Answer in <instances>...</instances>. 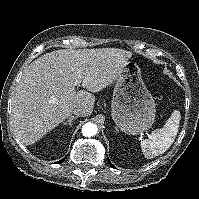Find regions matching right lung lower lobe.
Masks as SVG:
<instances>
[{
	"mask_svg": "<svg viewBox=\"0 0 199 199\" xmlns=\"http://www.w3.org/2000/svg\"><path fill=\"white\" fill-rule=\"evenodd\" d=\"M64 161V159H62V160H60V161H58L59 163H61V162H63Z\"/></svg>",
	"mask_w": 199,
	"mask_h": 199,
	"instance_id": "1",
	"label": "right lung lower lobe"
}]
</instances>
